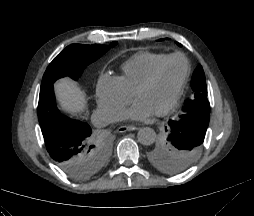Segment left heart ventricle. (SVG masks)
<instances>
[{
  "mask_svg": "<svg viewBox=\"0 0 254 216\" xmlns=\"http://www.w3.org/2000/svg\"><path fill=\"white\" fill-rule=\"evenodd\" d=\"M185 71L182 59L167 61L161 68L155 82L137 95V100L145 102L155 112L163 109L174 96Z\"/></svg>",
  "mask_w": 254,
  "mask_h": 216,
  "instance_id": "b2bd125f",
  "label": "left heart ventricle"
}]
</instances>
